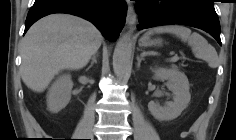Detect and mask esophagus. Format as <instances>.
Masks as SVG:
<instances>
[{
    "mask_svg": "<svg viewBox=\"0 0 236 140\" xmlns=\"http://www.w3.org/2000/svg\"><path fill=\"white\" fill-rule=\"evenodd\" d=\"M137 15L132 5L128 6L126 24L130 30H135L136 28Z\"/></svg>",
    "mask_w": 236,
    "mask_h": 140,
    "instance_id": "obj_1",
    "label": "esophagus"
}]
</instances>
